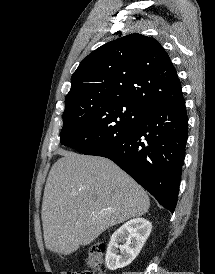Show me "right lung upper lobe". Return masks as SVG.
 Returning a JSON list of instances; mask_svg holds the SVG:
<instances>
[{
  "instance_id": "1",
  "label": "right lung upper lobe",
  "mask_w": 215,
  "mask_h": 274,
  "mask_svg": "<svg viewBox=\"0 0 215 274\" xmlns=\"http://www.w3.org/2000/svg\"><path fill=\"white\" fill-rule=\"evenodd\" d=\"M182 99L176 69L164 48L153 38L130 34L82 60L65 102L119 101L145 110Z\"/></svg>"
}]
</instances>
